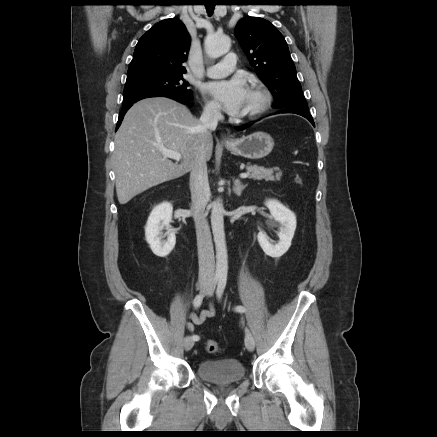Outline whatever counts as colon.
<instances>
[{"instance_id": "colon-1", "label": "colon", "mask_w": 437, "mask_h": 437, "mask_svg": "<svg viewBox=\"0 0 437 437\" xmlns=\"http://www.w3.org/2000/svg\"><path fill=\"white\" fill-rule=\"evenodd\" d=\"M295 180H296V182H297L298 184H301V183H302V180H301V178H300L299 176H297V177L295 178ZM205 349H206V351H207L208 353H217V352L219 351V345H218V343H217L216 341H214V340H208V341H206V343H205Z\"/></svg>"}]
</instances>
